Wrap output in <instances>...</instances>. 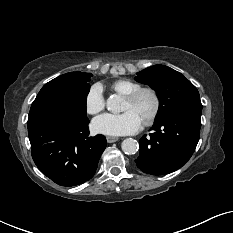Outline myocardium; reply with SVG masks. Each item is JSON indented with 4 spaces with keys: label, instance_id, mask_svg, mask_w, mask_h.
<instances>
[{
    "label": "myocardium",
    "instance_id": "1",
    "mask_svg": "<svg viewBox=\"0 0 233 233\" xmlns=\"http://www.w3.org/2000/svg\"><path fill=\"white\" fill-rule=\"evenodd\" d=\"M143 93H149V94H151V96L153 98V108H152L151 112L149 113V115L146 117V119L143 121V124L148 126L154 122V120L156 119V117L160 111L161 101H160V96H159L158 92L156 91V89L149 87V86L140 87V88L136 89L135 91L131 92L130 94L124 96V98L130 102H134Z\"/></svg>",
    "mask_w": 233,
    "mask_h": 233
}]
</instances>
